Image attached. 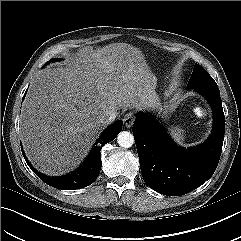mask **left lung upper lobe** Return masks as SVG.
<instances>
[{"mask_svg":"<svg viewBox=\"0 0 241 241\" xmlns=\"http://www.w3.org/2000/svg\"><path fill=\"white\" fill-rule=\"evenodd\" d=\"M188 88H210L218 89L214 79L205 71L203 67L195 64L192 76L187 85Z\"/></svg>","mask_w":241,"mask_h":241,"instance_id":"1","label":"left lung upper lobe"}]
</instances>
